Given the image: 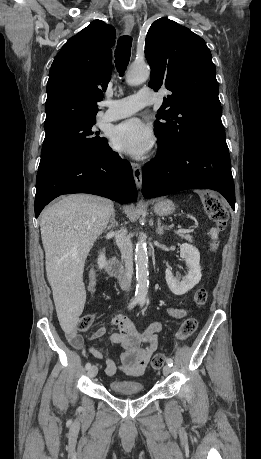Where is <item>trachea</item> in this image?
<instances>
[{"label":"trachea","instance_id":"3493384b","mask_svg":"<svg viewBox=\"0 0 261 459\" xmlns=\"http://www.w3.org/2000/svg\"><path fill=\"white\" fill-rule=\"evenodd\" d=\"M131 46L132 38L129 35H123L117 41L115 50V64L120 76L124 75V72L128 66L131 56Z\"/></svg>","mask_w":261,"mask_h":459}]
</instances>
